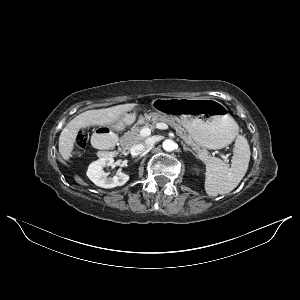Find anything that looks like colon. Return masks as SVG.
Returning <instances> with one entry per match:
<instances>
[{
	"label": "colon",
	"instance_id": "5ec220e1",
	"mask_svg": "<svg viewBox=\"0 0 300 300\" xmlns=\"http://www.w3.org/2000/svg\"><path fill=\"white\" fill-rule=\"evenodd\" d=\"M86 144H87V136L85 135V133L82 132L76 138L73 154L79 155L82 152V150L85 148Z\"/></svg>",
	"mask_w": 300,
	"mask_h": 300
}]
</instances>
